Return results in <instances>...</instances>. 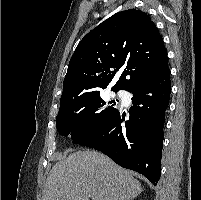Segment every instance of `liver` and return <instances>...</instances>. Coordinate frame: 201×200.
Wrapping results in <instances>:
<instances>
[{
    "label": "liver",
    "mask_w": 201,
    "mask_h": 200,
    "mask_svg": "<svg viewBox=\"0 0 201 200\" xmlns=\"http://www.w3.org/2000/svg\"><path fill=\"white\" fill-rule=\"evenodd\" d=\"M142 192L129 171L96 151H77L51 169L43 200H132Z\"/></svg>",
    "instance_id": "1"
}]
</instances>
